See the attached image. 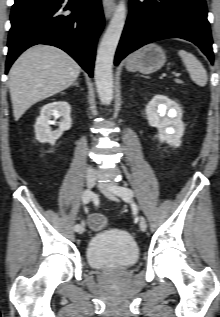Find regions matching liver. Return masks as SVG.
<instances>
[{"label": "liver", "instance_id": "1", "mask_svg": "<svg viewBox=\"0 0 220 317\" xmlns=\"http://www.w3.org/2000/svg\"><path fill=\"white\" fill-rule=\"evenodd\" d=\"M81 67L61 49L36 45L26 50L9 71V89L15 121L35 103L72 85Z\"/></svg>", "mask_w": 220, "mask_h": 317}]
</instances>
